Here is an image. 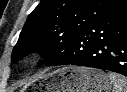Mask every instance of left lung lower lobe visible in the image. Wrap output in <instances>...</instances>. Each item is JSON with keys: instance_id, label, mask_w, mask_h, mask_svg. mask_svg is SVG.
<instances>
[{"instance_id": "1", "label": "left lung lower lobe", "mask_w": 127, "mask_h": 92, "mask_svg": "<svg viewBox=\"0 0 127 92\" xmlns=\"http://www.w3.org/2000/svg\"><path fill=\"white\" fill-rule=\"evenodd\" d=\"M68 64L127 76V0L79 32L61 55L48 63Z\"/></svg>"}]
</instances>
